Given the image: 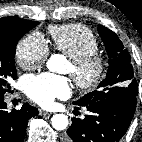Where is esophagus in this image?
Listing matches in <instances>:
<instances>
[{
  "mask_svg": "<svg viewBox=\"0 0 142 142\" xmlns=\"http://www.w3.org/2000/svg\"><path fill=\"white\" fill-rule=\"evenodd\" d=\"M39 114L45 116V115H50L51 113L48 112V111H45V110L40 109V110H39Z\"/></svg>",
  "mask_w": 142,
  "mask_h": 142,
  "instance_id": "esophagus-1",
  "label": "esophagus"
}]
</instances>
